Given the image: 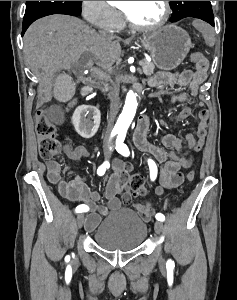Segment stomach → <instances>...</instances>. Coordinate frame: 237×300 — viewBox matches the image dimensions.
<instances>
[{"instance_id":"1","label":"stomach","mask_w":237,"mask_h":300,"mask_svg":"<svg viewBox=\"0 0 237 300\" xmlns=\"http://www.w3.org/2000/svg\"><path fill=\"white\" fill-rule=\"evenodd\" d=\"M134 39L142 43L154 65L162 71L176 69L194 47L188 33L176 25H165L149 33H137Z\"/></svg>"}]
</instances>
